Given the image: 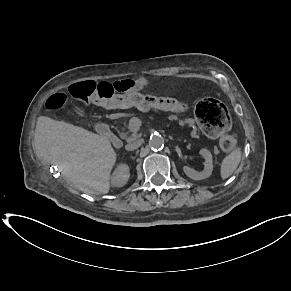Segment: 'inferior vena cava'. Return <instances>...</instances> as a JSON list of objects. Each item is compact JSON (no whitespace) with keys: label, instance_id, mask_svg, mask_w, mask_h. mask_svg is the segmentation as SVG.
Here are the masks:
<instances>
[{"label":"inferior vena cava","instance_id":"obj_1","mask_svg":"<svg viewBox=\"0 0 291 291\" xmlns=\"http://www.w3.org/2000/svg\"><path fill=\"white\" fill-rule=\"evenodd\" d=\"M142 143H143V140L142 139L135 140V141H133L131 143H128L125 146V149L127 151H133V150L139 148L142 145Z\"/></svg>","mask_w":291,"mask_h":291}]
</instances>
